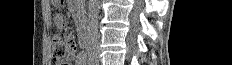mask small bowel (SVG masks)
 I'll use <instances>...</instances> for the list:
<instances>
[{"label":"small bowel","instance_id":"1","mask_svg":"<svg viewBox=\"0 0 232 65\" xmlns=\"http://www.w3.org/2000/svg\"><path fill=\"white\" fill-rule=\"evenodd\" d=\"M56 25L61 31H68L67 20L62 16V12H55ZM61 37H72V32H61ZM85 55L79 54L75 60V65H84ZM70 64V63H69Z\"/></svg>","mask_w":232,"mask_h":65}]
</instances>
